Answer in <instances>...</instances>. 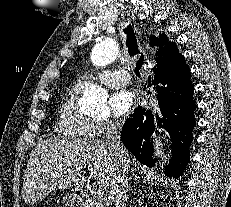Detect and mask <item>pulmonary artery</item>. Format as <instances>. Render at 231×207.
Wrapping results in <instances>:
<instances>
[{
  "label": "pulmonary artery",
  "mask_w": 231,
  "mask_h": 207,
  "mask_svg": "<svg viewBox=\"0 0 231 207\" xmlns=\"http://www.w3.org/2000/svg\"><path fill=\"white\" fill-rule=\"evenodd\" d=\"M88 80L98 81L107 87H119L129 82V75L124 69L114 71L104 70L78 80L76 86L83 88Z\"/></svg>",
  "instance_id": "e3ab8cb5"
}]
</instances>
